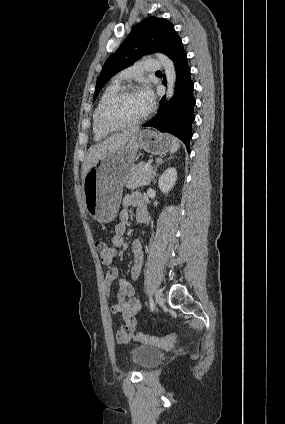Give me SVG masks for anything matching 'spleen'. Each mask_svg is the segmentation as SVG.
Wrapping results in <instances>:
<instances>
[{
    "instance_id": "3e777b00",
    "label": "spleen",
    "mask_w": 285,
    "mask_h": 424,
    "mask_svg": "<svg viewBox=\"0 0 285 424\" xmlns=\"http://www.w3.org/2000/svg\"><path fill=\"white\" fill-rule=\"evenodd\" d=\"M180 147L179 140L173 138L172 147L170 149V153H175Z\"/></svg>"
}]
</instances>
